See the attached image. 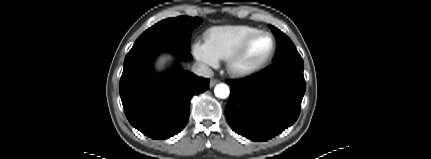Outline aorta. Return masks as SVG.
Wrapping results in <instances>:
<instances>
[{"instance_id":"1","label":"aorta","mask_w":431,"mask_h":159,"mask_svg":"<svg viewBox=\"0 0 431 159\" xmlns=\"http://www.w3.org/2000/svg\"><path fill=\"white\" fill-rule=\"evenodd\" d=\"M214 93L216 97L225 99L229 96L230 90L229 87L226 84H218L216 85L215 89H214Z\"/></svg>"}]
</instances>
